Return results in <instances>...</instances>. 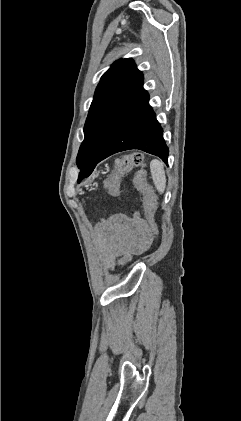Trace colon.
<instances>
[{"mask_svg": "<svg viewBox=\"0 0 241 421\" xmlns=\"http://www.w3.org/2000/svg\"><path fill=\"white\" fill-rule=\"evenodd\" d=\"M144 157L141 153H130L118 159L115 166L105 180V188L110 196L116 197L120 194V180L133 168L143 166ZM134 182L142 195L143 208L152 227L157 230L155 221L157 210V198L150 184L146 181V171L141 169L136 172ZM132 259V255H125L120 260V265L124 266Z\"/></svg>", "mask_w": 241, "mask_h": 421, "instance_id": "colon-1", "label": "colon"}]
</instances>
